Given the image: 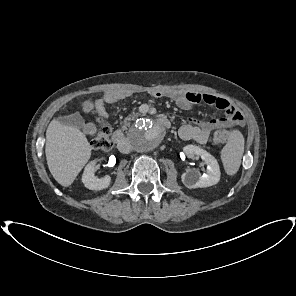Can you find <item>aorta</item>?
I'll return each instance as SVG.
<instances>
[{"instance_id": "aorta-1", "label": "aorta", "mask_w": 296, "mask_h": 296, "mask_svg": "<svg viewBox=\"0 0 296 296\" xmlns=\"http://www.w3.org/2000/svg\"><path fill=\"white\" fill-rule=\"evenodd\" d=\"M165 130L149 118L137 119L128 132L132 148L138 152H147L158 147L163 141Z\"/></svg>"}]
</instances>
